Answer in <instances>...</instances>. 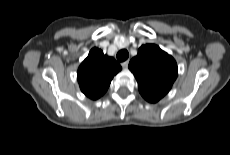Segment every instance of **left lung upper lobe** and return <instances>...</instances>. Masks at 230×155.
Here are the masks:
<instances>
[{"instance_id": "5c2ea615", "label": "left lung upper lobe", "mask_w": 230, "mask_h": 155, "mask_svg": "<svg viewBox=\"0 0 230 155\" xmlns=\"http://www.w3.org/2000/svg\"><path fill=\"white\" fill-rule=\"evenodd\" d=\"M129 69L138 82L140 94L150 103L158 102L170 91L178 72L173 57L154 44L141 46Z\"/></svg>"}]
</instances>
